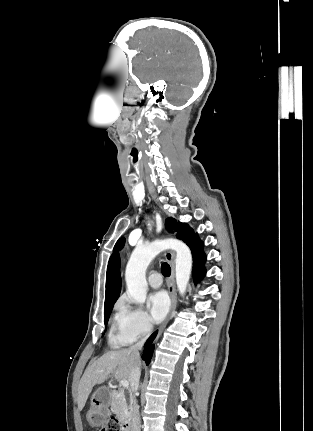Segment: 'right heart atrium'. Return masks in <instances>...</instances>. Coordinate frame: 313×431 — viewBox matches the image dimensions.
<instances>
[{
  "label": "right heart atrium",
  "instance_id": "d8ad5b80",
  "mask_svg": "<svg viewBox=\"0 0 313 431\" xmlns=\"http://www.w3.org/2000/svg\"><path fill=\"white\" fill-rule=\"evenodd\" d=\"M119 308L121 311L120 324L134 340L149 335L152 324L144 310L132 304L127 298L120 301Z\"/></svg>",
  "mask_w": 313,
  "mask_h": 431
}]
</instances>
